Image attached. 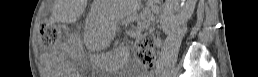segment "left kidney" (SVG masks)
I'll list each match as a JSON object with an SVG mask.
<instances>
[{
    "mask_svg": "<svg viewBox=\"0 0 258 77\" xmlns=\"http://www.w3.org/2000/svg\"><path fill=\"white\" fill-rule=\"evenodd\" d=\"M183 2H188L189 4H187L184 9H183V13H182V16H181V19L183 21L187 20L193 13L194 11V6H195V3H196V0H182Z\"/></svg>",
    "mask_w": 258,
    "mask_h": 77,
    "instance_id": "1",
    "label": "left kidney"
}]
</instances>
